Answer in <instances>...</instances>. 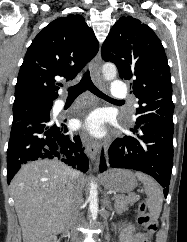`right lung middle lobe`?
<instances>
[{
  "label": "right lung middle lobe",
  "instance_id": "1",
  "mask_svg": "<svg viewBox=\"0 0 187 242\" xmlns=\"http://www.w3.org/2000/svg\"><path fill=\"white\" fill-rule=\"evenodd\" d=\"M52 104H29L13 107V122L50 113Z\"/></svg>",
  "mask_w": 187,
  "mask_h": 242
}]
</instances>
